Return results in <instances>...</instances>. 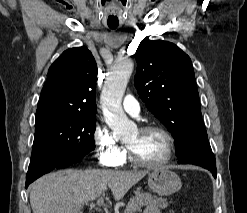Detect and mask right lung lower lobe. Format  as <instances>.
Listing matches in <instances>:
<instances>
[{
  "instance_id": "right-lung-lower-lobe-1",
  "label": "right lung lower lobe",
  "mask_w": 247,
  "mask_h": 213,
  "mask_svg": "<svg viewBox=\"0 0 247 213\" xmlns=\"http://www.w3.org/2000/svg\"><path fill=\"white\" fill-rule=\"evenodd\" d=\"M85 157V156H84ZM84 157L78 158V159H66V158H58L56 155L51 156L50 160H43L38 163H36L35 166L29 165L28 173L26 176V188L30 183H32L34 180H36L41 175L50 172L54 168H63L68 167L74 163L80 162ZM35 167H42V171L34 174L32 171Z\"/></svg>"
}]
</instances>
